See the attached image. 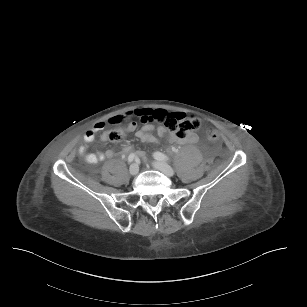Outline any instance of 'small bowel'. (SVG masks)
I'll use <instances>...</instances> for the list:
<instances>
[{
	"label": "small bowel",
	"mask_w": 307,
	"mask_h": 307,
	"mask_svg": "<svg viewBox=\"0 0 307 307\" xmlns=\"http://www.w3.org/2000/svg\"><path fill=\"white\" fill-rule=\"evenodd\" d=\"M150 109L139 108L132 111L129 115L130 116H137L143 120L144 125L137 130L136 136L137 138L143 143H158V139L152 134L154 130V126L152 125ZM136 127V125H135ZM134 127V129H135ZM103 125L101 123L96 124L93 128L88 130L84 135L85 143L80 146L79 153L84 156L85 160L89 163H96L99 161L104 160L105 158H111L115 155V151L113 149H108L105 152H98V153H86L87 144L94 142L96 134L101 131ZM133 129V130H134ZM132 131V130H131ZM157 134L159 137L168 140L171 143L177 144H195L198 141V135L196 133H190L185 137H178L174 133L169 132L163 127H159L157 129ZM132 149L131 144L124 143L121 147L122 153H128ZM138 157H143L144 153L142 151L137 152Z\"/></svg>",
	"instance_id": "small-bowel-1"
}]
</instances>
